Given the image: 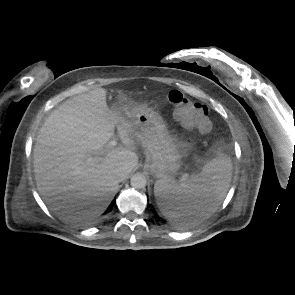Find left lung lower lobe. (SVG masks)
<instances>
[{
	"label": "left lung lower lobe",
	"instance_id": "obj_1",
	"mask_svg": "<svg viewBox=\"0 0 295 295\" xmlns=\"http://www.w3.org/2000/svg\"><path fill=\"white\" fill-rule=\"evenodd\" d=\"M192 214H195V215H198V214H201L200 211H198L196 208L191 210Z\"/></svg>",
	"mask_w": 295,
	"mask_h": 295
}]
</instances>
